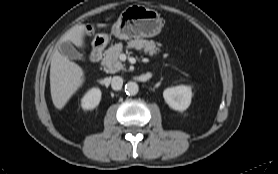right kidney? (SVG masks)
Returning a JSON list of instances; mask_svg holds the SVG:
<instances>
[{
	"instance_id": "ca27d5eb",
	"label": "right kidney",
	"mask_w": 278,
	"mask_h": 174,
	"mask_svg": "<svg viewBox=\"0 0 278 174\" xmlns=\"http://www.w3.org/2000/svg\"><path fill=\"white\" fill-rule=\"evenodd\" d=\"M101 100V91L98 88L89 90L81 100V106L85 110L94 109Z\"/></svg>"
}]
</instances>
